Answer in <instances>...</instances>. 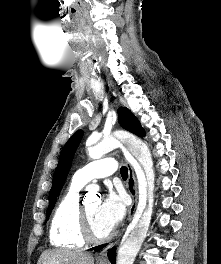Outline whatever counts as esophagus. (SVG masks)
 Masks as SVG:
<instances>
[{
	"mask_svg": "<svg viewBox=\"0 0 221 264\" xmlns=\"http://www.w3.org/2000/svg\"><path fill=\"white\" fill-rule=\"evenodd\" d=\"M127 189L132 198V204L129 209V215H128V221H131L137 207V184H136L134 170L131 165L128 166ZM119 239L120 236L115 240V242L109 244L99 252L97 256L98 262L103 264H106L108 262L107 252L110 248H112L114 245L118 243Z\"/></svg>",
	"mask_w": 221,
	"mask_h": 264,
	"instance_id": "obj_1",
	"label": "esophagus"
}]
</instances>
